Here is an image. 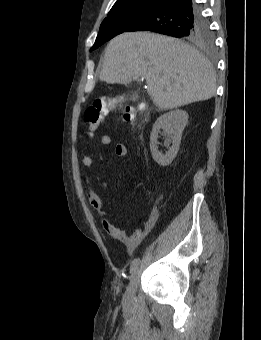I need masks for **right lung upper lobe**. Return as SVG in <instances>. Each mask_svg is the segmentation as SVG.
Listing matches in <instances>:
<instances>
[{"label": "right lung upper lobe", "mask_w": 261, "mask_h": 340, "mask_svg": "<svg viewBox=\"0 0 261 340\" xmlns=\"http://www.w3.org/2000/svg\"><path fill=\"white\" fill-rule=\"evenodd\" d=\"M137 1H156V2H160L161 0H117L116 3L114 4V6L123 5V4H127V3H132V2H137Z\"/></svg>", "instance_id": "cb5924a9"}]
</instances>
